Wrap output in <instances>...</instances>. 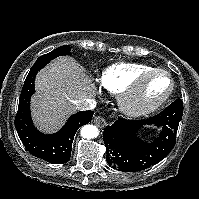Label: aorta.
<instances>
[{"mask_svg":"<svg viewBox=\"0 0 199 199\" xmlns=\"http://www.w3.org/2000/svg\"><path fill=\"white\" fill-rule=\"evenodd\" d=\"M80 134L83 138L92 139L98 136L99 130L94 125H85L82 127Z\"/></svg>","mask_w":199,"mask_h":199,"instance_id":"1","label":"aorta"}]
</instances>
